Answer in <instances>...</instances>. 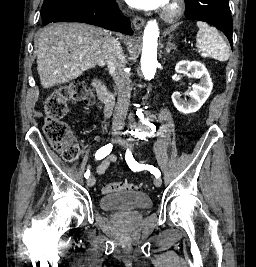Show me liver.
<instances>
[{
  "label": "liver",
  "mask_w": 256,
  "mask_h": 267,
  "mask_svg": "<svg viewBox=\"0 0 256 267\" xmlns=\"http://www.w3.org/2000/svg\"><path fill=\"white\" fill-rule=\"evenodd\" d=\"M114 40L106 30L88 24H50L38 36L37 72L41 86L51 88L105 64L102 46Z\"/></svg>",
  "instance_id": "1"
}]
</instances>
